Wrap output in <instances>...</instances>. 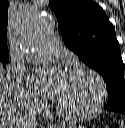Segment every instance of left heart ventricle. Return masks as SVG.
<instances>
[{"instance_id": "left-heart-ventricle-1", "label": "left heart ventricle", "mask_w": 125, "mask_h": 128, "mask_svg": "<svg viewBox=\"0 0 125 128\" xmlns=\"http://www.w3.org/2000/svg\"><path fill=\"white\" fill-rule=\"evenodd\" d=\"M97 98L98 86L91 77L68 74L56 103L66 111L79 112L94 105Z\"/></svg>"}]
</instances>
